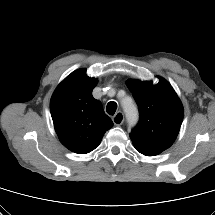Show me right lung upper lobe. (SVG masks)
<instances>
[{"label": "right lung upper lobe", "mask_w": 215, "mask_h": 215, "mask_svg": "<svg viewBox=\"0 0 215 215\" xmlns=\"http://www.w3.org/2000/svg\"><path fill=\"white\" fill-rule=\"evenodd\" d=\"M97 83V79L87 76L86 69H78L58 85L50 101L59 140L78 154L94 150L113 126L101 103L92 96Z\"/></svg>", "instance_id": "right-lung-upper-lobe-1"}]
</instances>
